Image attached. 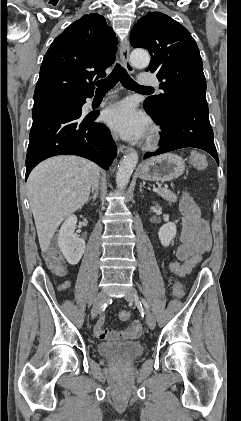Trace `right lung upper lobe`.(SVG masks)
I'll return each mask as SVG.
<instances>
[{
	"instance_id": "obj_1",
	"label": "right lung upper lobe",
	"mask_w": 241,
	"mask_h": 421,
	"mask_svg": "<svg viewBox=\"0 0 241 421\" xmlns=\"http://www.w3.org/2000/svg\"><path fill=\"white\" fill-rule=\"evenodd\" d=\"M118 40L103 16L92 13L68 26L45 54L34 92V106L92 94L94 76L105 77Z\"/></svg>"
}]
</instances>
